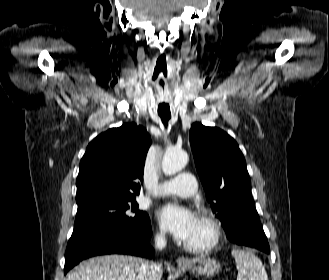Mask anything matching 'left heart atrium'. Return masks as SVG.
<instances>
[{
	"mask_svg": "<svg viewBox=\"0 0 329 280\" xmlns=\"http://www.w3.org/2000/svg\"><path fill=\"white\" fill-rule=\"evenodd\" d=\"M158 218L166 229L184 242L189 240L197 223V216L190 208L174 203L163 206Z\"/></svg>",
	"mask_w": 329,
	"mask_h": 280,
	"instance_id": "39dd6f15",
	"label": "left heart atrium"
}]
</instances>
